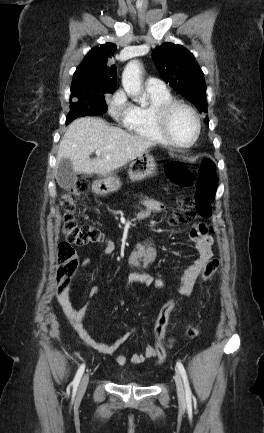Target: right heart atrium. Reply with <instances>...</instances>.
Masks as SVG:
<instances>
[{"label":"right heart atrium","instance_id":"obj_1","mask_svg":"<svg viewBox=\"0 0 264 433\" xmlns=\"http://www.w3.org/2000/svg\"><path fill=\"white\" fill-rule=\"evenodd\" d=\"M133 106L122 89L117 90L107 100L108 113L114 120L123 124L131 117Z\"/></svg>","mask_w":264,"mask_h":433}]
</instances>
